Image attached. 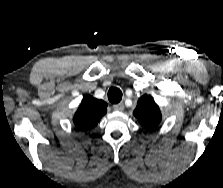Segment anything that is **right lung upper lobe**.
<instances>
[{
	"mask_svg": "<svg viewBox=\"0 0 223 188\" xmlns=\"http://www.w3.org/2000/svg\"><path fill=\"white\" fill-rule=\"evenodd\" d=\"M107 103L87 95L78 107L73 122L82 131L95 127L107 112Z\"/></svg>",
	"mask_w": 223,
	"mask_h": 188,
	"instance_id": "right-lung-upper-lobe-1",
	"label": "right lung upper lobe"
}]
</instances>
